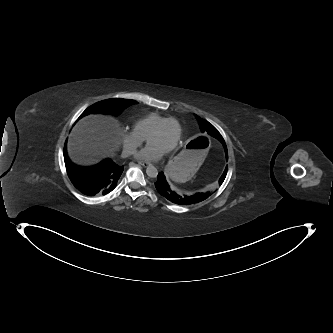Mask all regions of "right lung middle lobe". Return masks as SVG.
Listing matches in <instances>:
<instances>
[{"instance_id":"dd1d6c3e","label":"right lung middle lobe","mask_w":333,"mask_h":333,"mask_svg":"<svg viewBox=\"0 0 333 333\" xmlns=\"http://www.w3.org/2000/svg\"><path fill=\"white\" fill-rule=\"evenodd\" d=\"M135 103L136 101L134 100L121 99V98L103 100L87 108L82 113L80 118L91 113H103V114L110 113L117 115L120 114L125 108Z\"/></svg>"}]
</instances>
